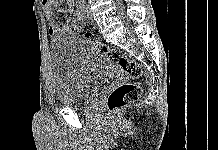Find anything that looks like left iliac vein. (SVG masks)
I'll list each match as a JSON object with an SVG mask.
<instances>
[{
  "instance_id": "obj_1",
  "label": "left iliac vein",
  "mask_w": 218,
  "mask_h": 150,
  "mask_svg": "<svg viewBox=\"0 0 218 150\" xmlns=\"http://www.w3.org/2000/svg\"><path fill=\"white\" fill-rule=\"evenodd\" d=\"M84 14H85V17H84V18H85L87 21H89V22H91V23L94 22L93 16H92L91 11H90V9H89L88 6L85 7V9H84Z\"/></svg>"
}]
</instances>
